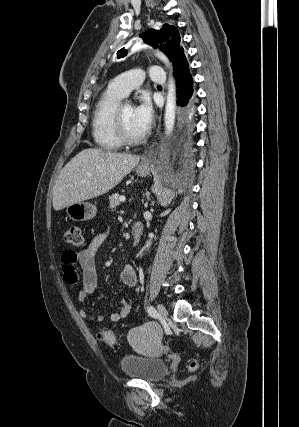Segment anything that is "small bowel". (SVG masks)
<instances>
[{"instance_id":"1","label":"small bowel","mask_w":299,"mask_h":427,"mask_svg":"<svg viewBox=\"0 0 299 427\" xmlns=\"http://www.w3.org/2000/svg\"><path fill=\"white\" fill-rule=\"evenodd\" d=\"M105 239L106 232L102 231L94 235L80 251H68L62 255L65 282L70 286H77L80 282L82 283V289L77 294V301L80 304L86 303L94 294L98 278L96 256ZM78 266L82 269L81 277L77 271ZM120 280L130 288L136 286L137 275L133 266L128 264L121 270ZM131 309L132 300L123 297L120 311L111 314L108 319L111 322H119L128 316ZM79 315L88 321H103L105 319L104 315L89 312L84 307L80 308Z\"/></svg>"}]
</instances>
